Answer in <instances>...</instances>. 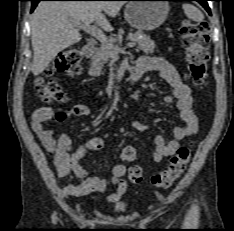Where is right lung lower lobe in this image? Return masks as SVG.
Listing matches in <instances>:
<instances>
[{
    "label": "right lung lower lobe",
    "mask_w": 234,
    "mask_h": 231,
    "mask_svg": "<svg viewBox=\"0 0 234 231\" xmlns=\"http://www.w3.org/2000/svg\"><path fill=\"white\" fill-rule=\"evenodd\" d=\"M30 1H32L31 11H33L40 1H77V0H30ZM82 1H95V0H82ZM103 1H109V0H103Z\"/></svg>",
    "instance_id": "1"
}]
</instances>
